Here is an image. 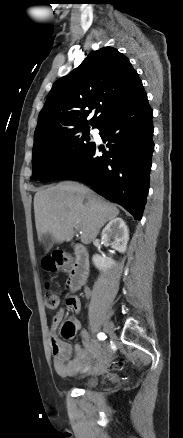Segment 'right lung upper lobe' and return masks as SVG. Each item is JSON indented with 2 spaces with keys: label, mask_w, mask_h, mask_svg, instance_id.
<instances>
[{
  "label": "right lung upper lobe",
  "mask_w": 183,
  "mask_h": 438,
  "mask_svg": "<svg viewBox=\"0 0 183 438\" xmlns=\"http://www.w3.org/2000/svg\"><path fill=\"white\" fill-rule=\"evenodd\" d=\"M145 91L137 72L116 48L91 52L81 65L58 79L38 118L34 141L44 136L100 125L120 107L139 99ZM88 108L89 110H86Z\"/></svg>",
  "instance_id": "1"
}]
</instances>
